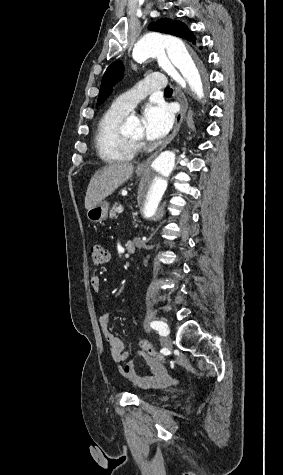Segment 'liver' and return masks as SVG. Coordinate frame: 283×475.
I'll return each instance as SVG.
<instances>
[{
    "instance_id": "liver-1",
    "label": "liver",
    "mask_w": 283,
    "mask_h": 475,
    "mask_svg": "<svg viewBox=\"0 0 283 475\" xmlns=\"http://www.w3.org/2000/svg\"><path fill=\"white\" fill-rule=\"evenodd\" d=\"M133 164H108L101 172H96L89 182L85 196V208L91 210L107 196H111L121 184L129 180Z\"/></svg>"
}]
</instances>
